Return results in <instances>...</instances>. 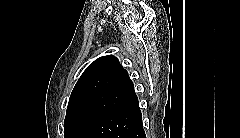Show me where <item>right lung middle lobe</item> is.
Here are the masks:
<instances>
[{"instance_id": "right-lung-middle-lobe-1", "label": "right lung middle lobe", "mask_w": 240, "mask_h": 138, "mask_svg": "<svg viewBox=\"0 0 240 138\" xmlns=\"http://www.w3.org/2000/svg\"><path fill=\"white\" fill-rule=\"evenodd\" d=\"M107 115L101 112H84L65 117L64 138H86Z\"/></svg>"}]
</instances>
